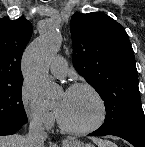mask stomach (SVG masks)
Here are the masks:
<instances>
[{
  "mask_svg": "<svg viewBox=\"0 0 145 147\" xmlns=\"http://www.w3.org/2000/svg\"><path fill=\"white\" fill-rule=\"evenodd\" d=\"M63 147H93V146L90 144H84V143L77 141V140H72V141L66 143Z\"/></svg>",
  "mask_w": 145,
  "mask_h": 147,
  "instance_id": "obj_1",
  "label": "stomach"
}]
</instances>
